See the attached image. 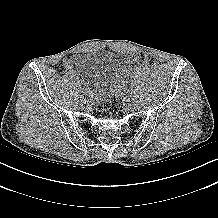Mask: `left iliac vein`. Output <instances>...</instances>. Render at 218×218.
I'll return each mask as SVG.
<instances>
[{"label": "left iliac vein", "mask_w": 218, "mask_h": 218, "mask_svg": "<svg viewBox=\"0 0 218 218\" xmlns=\"http://www.w3.org/2000/svg\"><path fill=\"white\" fill-rule=\"evenodd\" d=\"M132 104H133V102L130 100V101L128 102V107H130Z\"/></svg>", "instance_id": "obj_1"}]
</instances>
